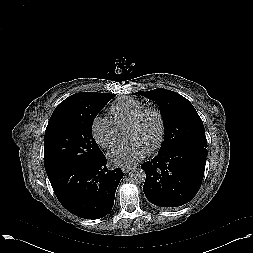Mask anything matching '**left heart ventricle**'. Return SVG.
Segmentation results:
<instances>
[{"label": "left heart ventricle", "mask_w": 253, "mask_h": 253, "mask_svg": "<svg viewBox=\"0 0 253 253\" xmlns=\"http://www.w3.org/2000/svg\"><path fill=\"white\" fill-rule=\"evenodd\" d=\"M159 130V122L155 114L149 113L134 127H127L126 139H136L147 148L155 141Z\"/></svg>", "instance_id": "left-heart-ventricle-1"}]
</instances>
